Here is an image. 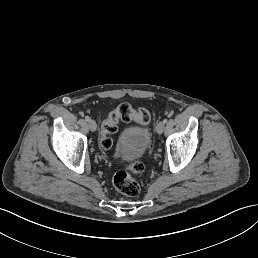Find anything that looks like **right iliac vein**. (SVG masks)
Instances as JSON below:
<instances>
[{
    "label": "right iliac vein",
    "mask_w": 258,
    "mask_h": 258,
    "mask_svg": "<svg viewBox=\"0 0 258 258\" xmlns=\"http://www.w3.org/2000/svg\"><path fill=\"white\" fill-rule=\"evenodd\" d=\"M88 124H89V126H90L89 128H90L91 131L94 132V131L97 130V128H98L97 126H98V125H97V123H96L95 120H93V119H92V120H89V123H88Z\"/></svg>",
    "instance_id": "63e3f726"
}]
</instances>
